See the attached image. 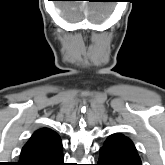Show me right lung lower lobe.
<instances>
[{"instance_id":"98d812e1","label":"right lung lower lobe","mask_w":165,"mask_h":165,"mask_svg":"<svg viewBox=\"0 0 165 165\" xmlns=\"http://www.w3.org/2000/svg\"><path fill=\"white\" fill-rule=\"evenodd\" d=\"M33 151L23 156L18 165H65L58 134L39 141Z\"/></svg>"}]
</instances>
